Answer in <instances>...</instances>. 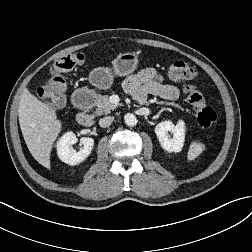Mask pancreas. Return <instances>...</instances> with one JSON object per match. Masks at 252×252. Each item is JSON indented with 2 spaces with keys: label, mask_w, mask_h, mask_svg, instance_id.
Returning <instances> with one entry per match:
<instances>
[{
  "label": "pancreas",
  "mask_w": 252,
  "mask_h": 252,
  "mask_svg": "<svg viewBox=\"0 0 252 252\" xmlns=\"http://www.w3.org/2000/svg\"><path fill=\"white\" fill-rule=\"evenodd\" d=\"M160 103L162 104L163 102H160ZM167 104L179 107L178 105L174 103H167ZM96 106L97 108L95 111V115L101 116V115L110 113L112 110L116 109L118 105L111 103L108 95H103V96L96 95Z\"/></svg>",
  "instance_id": "1"
}]
</instances>
